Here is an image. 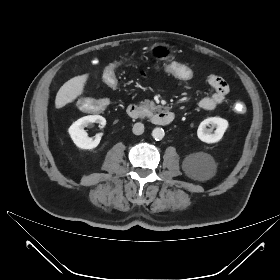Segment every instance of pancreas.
<instances>
[{
  "instance_id": "1",
  "label": "pancreas",
  "mask_w": 280,
  "mask_h": 280,
  "mask_svg": "<svg viewBox=\"0 0 280 280\" xmlns=\"http://www.w3.org/2000/svg\"><path fill=\"white\" fill-rule=\"evenodd\" d=\"M140 107L147 116H152V112H154L158 108V106H156L154 102L149 100L141 102Z\"/></svg>"
}]
</instances>
